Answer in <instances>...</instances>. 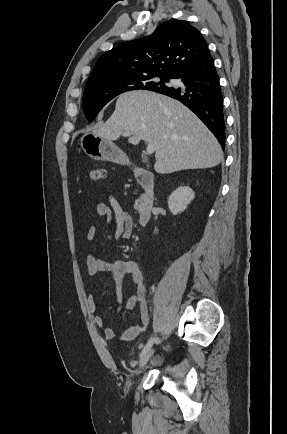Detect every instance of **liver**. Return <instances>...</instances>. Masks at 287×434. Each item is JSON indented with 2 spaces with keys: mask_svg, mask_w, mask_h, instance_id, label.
Masks as SVG:
<instances>
[{
  "mask_svg": "<svg viewBox=\"0 0 287 434\" xmlns=\"http://www.w3.org/2000/svg\"><path fill=\"white\" fill-rule=\"evenodd\" d=\"M93 132L108 141L130 132L129 143L154 144V170L160 174L215 167L223 158L217 139L194 113L179 101L151 91L120 95L111 117Z\"/></svg>",
  "mask_w": 287,
  "mask_h": 434,
  "instance_id": "liver-1",
  "label": "liver"
}]
</instances>
